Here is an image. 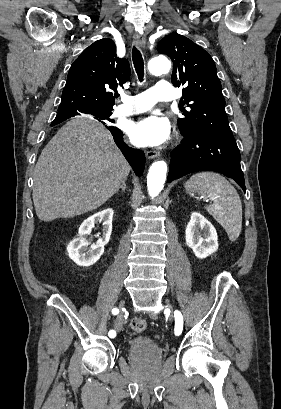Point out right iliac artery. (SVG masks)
<instances>
[{"mask_svg":"<svg viewBox=\"0 0 281 409\" xmlns=\"http://www.w3.org/2000/svg\"><path fill=\"white\" fill-rule=\"evenodd\" d=\"M118 312H119V310H118L117 308H114V309L112 310V313H113L114 315L118 314ZM108 335H109V337L114 338V337L116 336V332H115L114 330H111V331L108 333Z\"/></svg>","mask_w":281,"mask_h":409,"instance_id":"82829eb1","label":"right iliac artery"}]
</instances>
